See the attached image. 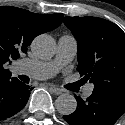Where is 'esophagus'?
Listing matches in <instances>:
<instances>
[{"mask_svg":"<svg viewBox=\"0 0 125 125\" xmlns=\"http://www.w3.org/2000/svg\"><path fill=\"white\" fill-rule=\"evenodd\" d=\"M49 89H50L51 92H53L56 95L62 94V90L60 88L56 87V86L51 85V86H49Z\"/></svg>","mask_w":125,"mask_h":125,"instance_id":"34e87169","label":"esophagus"}]
</instances>
